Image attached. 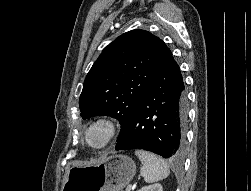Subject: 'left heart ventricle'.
Returning a JSON list of instances; mask_svg holds the SVG:
<instances>
[{
  "mask_svg": "<svg viewBox=\"0 0 251 191\" xmlns=\"http://www.w3.org/2000/svg\"><path fill=\"white\" fill-rule=\"evenodd\" d=\"M83 141L88 147L99 149L106 141V132L101 126L92 127L84 133Z\"/></svg>",
  "mask_w": 251,
  "mask_h": 191,
  "instance_id": "b2bd125f",
  "label": "left heart ventricle"
}]
</instances>
